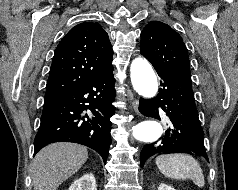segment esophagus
Instances as JSON below:
<instances>
[{"label": "esophagus", "mask_w": 238, "mask_h": 190, "mask_svg": "<svg viewBox=\"0 0 238 190\" xmlns=\"http://www.w3.org/2000/svg\"><path fill=\"white\" fill-rule=\"evenodd\" d=\"M138 105H139V103H138L137 100H134V101L132 102V108L134 109L135 112L138 111Z\"/></svg>", "instance_id": "1"}]
</instances>
